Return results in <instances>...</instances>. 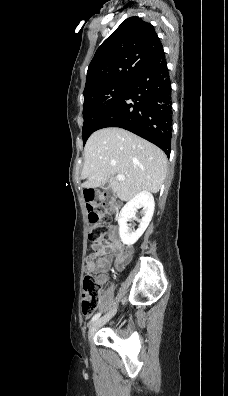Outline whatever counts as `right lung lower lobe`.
I'll return each instance as SVG.
<instances>
[{
  "mask_svg": "<svg viewBox=\"0 0 228 396\" xmlns=\"http://www.w3.org/2000/svg\"><path fill=\"white\" fill-rule=\"evenodd\" d=\"M171 82L163 48L131 82L97 130L120 127L152 142L170 156L172 136Z\"/></svg>",
  "mask_w": 228,
  "mask_h": 396,
  "instance_id": "obj_1",
  "label": "right lung lower lobe"
}]
</instances>
